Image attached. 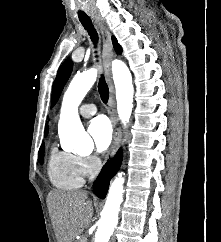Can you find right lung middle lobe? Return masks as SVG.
Instances as JSON below:
<instances>
[{
    "label": "right lung middle lobe",
    "mask_w": 221,
    "mask_h": 242,
    "mask_svg": "<svg viewBox=\"0 0 221 242\" xmlns=\"http://www.w3.org/2000/svg\"><path fill=\"white\" fill-rule=\"evenodd\" d=\"M43 157H44V144L41 145L38 153V159L40 163H43Z\"/></svg>",
    "instance_id": "obj_1"
}]
</instances>
